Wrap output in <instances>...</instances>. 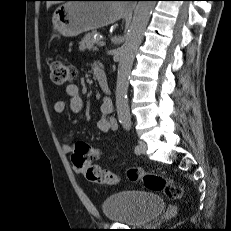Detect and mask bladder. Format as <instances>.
Returning <instances> with one entry per match:
<instances>
[{"label":"bladder","instance_id":"31cf9c89","mask_svg":"<svg viewBox=\"0 0 231 231\" xmlns=\"http://www.w3.org/2000/svg\"><path fill=\"white\" fill-rule=\"evenodd\" d=\"M165 201L158 195L143 191H124L102 201L104 217L125 225L143 226L155 221L164 211Z\"/></svg>","mask_w":231,"mask_h":231}]
</instances>
